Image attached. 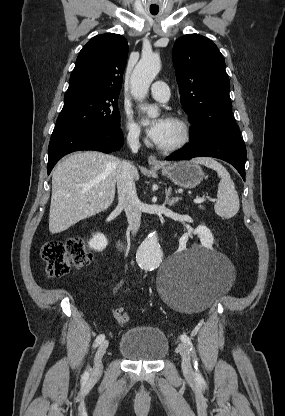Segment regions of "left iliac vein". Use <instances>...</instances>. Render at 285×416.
Returning <instances> with one entry per match:
<instances>
[{
    "label": "left iliac vein",
    "instance_id": "left-iliac-vein-1",
    "mask_svg": "<svg viewBox=\"0 0 285 416\" xmlns=\"http://www.w3.org/2000/svg\"><path fill=\"white\" fill-rule=\"evenodd\" d=\"M178 351L182 357V369L185 375L191 377L193 369L191 365V354L188 347L184 343L178 344Z\"/></svg>",
    "mask_w": 285,
    "mask_h": 416
}]
</instances>
